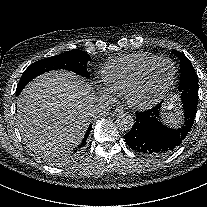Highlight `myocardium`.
Wrapping results in <instances>:
<instances>
[{
    "instance_id": "myocardium-1",
    "label": "myocardium",
    "mask_w": 207,
    "mask_h": 207,
    "mask_svg": "<svg viewBox=\"0 0 207 207\" xmlns=\"http://www.w3.org/2000/svg\"><path fill=\"white\" fill-rule=\"evenodd\" d=\"M162 62H169L173 65V68H174L173 75H172V78H171L168 86L166 87V89L164 90V92L162 93V95L159 98L147 99V100L142 99L141 96L145 92L149 73L157 65H159ZM177 72H178V70H177L176 63L171 58L161 57V58H158L157 60L153 61L142 71L138 81L127 92V94L125 96L127 103L133 109L140 110V109L144 108L145 106H148L149 104H152L154 102H157L161 99L166 98L167 96L170 95V93L172 92V89L175 85L176 78H177Z\"/></svg>"
}]
</instances>
